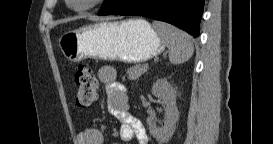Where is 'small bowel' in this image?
<instances>
[{
  "mask_svg": "<svg viewBox=\"0 0 273 144\" xmlns=\"http://www.w3.org/2000/svg\"><path fill=\"white\" fill-rule=\"evenodd\" d=\"M98 77L107 85V106L109 112L120 122L119 137L124 142L134 138L139 144L148 143V135L144 126L129 109V97L122 84L116 81V71L109 66L100 68ZM77 144H103L104 135L98 128H88L77 134Z\"/></svg>",
  "mask_w": 273,
  "mask_h": 144,
  "instance_id": "small-bowel-1",
  "label": "small bowel"
}]
</instances>
